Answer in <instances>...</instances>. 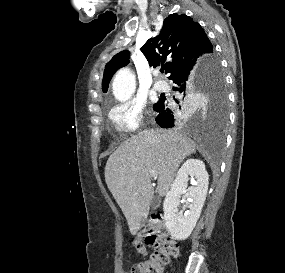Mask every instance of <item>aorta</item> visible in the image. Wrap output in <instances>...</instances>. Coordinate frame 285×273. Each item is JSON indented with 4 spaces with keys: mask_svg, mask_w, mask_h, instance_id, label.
<instances>
[{
    "mask_svg": "<svg viewBox=\"0 0 285 273\" xmlns=\"http://www.w3.org/2000/svg\"><path fill=\"white\" fill-rule=\"evenodd\" d=\"M136 87L135 75L128 68H123L115 75L113 94L119 101L128 100Z\"/></svg>",
    "mask_w": 285,
    "mask_h": 273,
    "instance_id": "obj_1",
    "label": "aorta"
}]
</instances>
